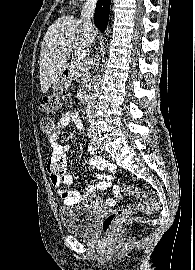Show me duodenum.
<instances>
[{"instance_id":"1","label":"duodenum","mask_w":195,"mask_h":270,"mask_svg":"<svg viewBox=\"0 0 195 270\" xmlns=\"http://www.w3.org/2000/svg\"><path fill=\"white\" fill-rule=\"evenodd\" d=\"M63 74H64V78L68 80L71 77V71H70V69L68 67L65 68ZM87 96H88L87 90L86 89L82 90L81 93H80V99L82 101H86L87 100Z\"/></svg>"}]
</instances>
